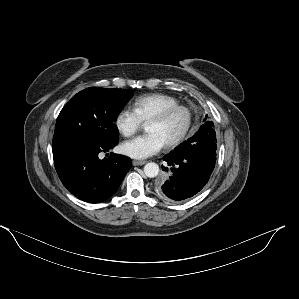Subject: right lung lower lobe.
I'll list each match as a JSON object with an SVG mask.
<instances>
[{
  "instance_id": "obj_1",
  "label": "right lung lower lobe",
  "mask_w": 299,
  "mask_h": 299,
  "mask_svg": "<svg viewBox=\"0 0 299 299\" xmlns=\"http://www.w3.org/2000/svg\"><path fill=\"white\" fill-rule=\"evenodd\" d=\"M116 145L74 141L53 147L54 165L64 186L77 198L90 203L111 197L129 171L131 159L111 153L101 160L98 154Z\"/></svg>"
}]
</instances>
